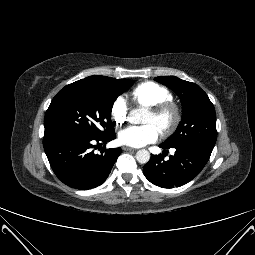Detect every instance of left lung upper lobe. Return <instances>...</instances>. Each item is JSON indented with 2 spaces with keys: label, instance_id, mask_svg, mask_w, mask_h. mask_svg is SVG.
<instances>
[{
  "label": "left lung upper lobe",
  "instance_id": "left-lung-upper-lobe-1",
  "mask_svg": "<svg viewBox=\"0 0 255 255\" xmlns=\"http://www.w3.org/2000/svg\"><path fill=\"white\" fill-rule=\"evenodd\" d=\"M171 88L182 103V121L163 143L167 147H202L213 150L217 138L216 114L207 94L195 83L175 76L155 78Z\"/></svg>",
  "mask_w": 255,
  "mask_h": 255
}]
</instances>
